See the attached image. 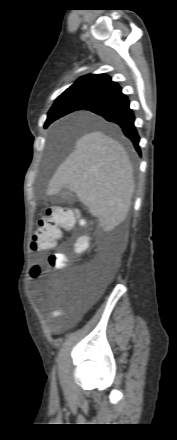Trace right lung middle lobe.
Segmentation results:
<instances>
[{"label":"right lung middle lobe","mask_w":177,"mask_h":440,"mask_svg":"<svg viewBox=\"0 0 177 440\" xmlns=\"http://www.w3.org/2000/svg\"><path fill=\"white\" fill-rule=\"evenodd\" d=\"M92 102H95L94 99L88 96L80 95L73 92L62 93L53 104L51 110L49 111V114L58 119L73 111L82 110L84 107ZM48 124H46V126Z\"/></svg>","instance_id":"1"}]
</instances>
